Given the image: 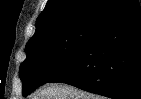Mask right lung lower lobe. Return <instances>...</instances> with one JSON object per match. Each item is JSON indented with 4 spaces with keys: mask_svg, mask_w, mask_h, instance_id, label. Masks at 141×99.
I'll return each mask as SVG.
<instances>
[{
    "mask_svg": "<svg viewBox=\"0 0 141 99\" xmlns=\"http://www.w3.org/2000/svg\"><path fill=\"white\" fill-rule=\"evenodd\" d=\"M62 82L113 99H141V7L136 1L104 19L47 83Z\"/></svg>",
    "mask_w": 141,
    "mask_h": 99,
    "instance_id": "1",
    "label": "right lung lower lobe"
}]
</instances>
